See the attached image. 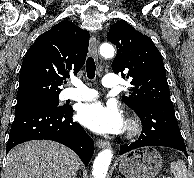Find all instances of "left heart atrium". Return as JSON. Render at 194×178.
Here are the masks:
<instances>
[{
	"mask_svg": "<svg viewBox=\"0 0 194 178\" xmlns=\"http://www.w3.org/2000/svg\"><path fill=\"white\" fill-rule=\"evenodd\" d=\"M78 119L81 124L98 134H119L125 128L123 116L114 104H85L79 109Z\"/></svg>",
	"mask_w": 194,
	"mask_h": 178,
	"instance_id": "obj_1",
	"label": "left heart atrium"
}]
</instances>
